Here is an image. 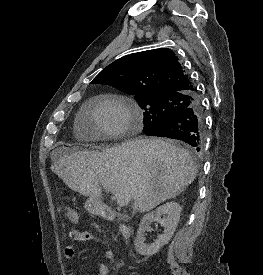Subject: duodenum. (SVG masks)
I'll list each match as a JSON object with an SVG mask.
<instances>
[{
	"mask_svg": "<svg viewBox=\"0 0 263 275\" xmlns=\"http://www.w3.org/2000/svg\"><path fill=\"white\" fill-rule=\"evenodd\" d=\"M100 212H101L102 217L105 218L106 220L114 221L116 219L113 211L106 206L101 207ZM119 230H120L122 237L127 242L130 238V228L126 224L120 223Z\"/></svg>",
	"mask_w": 263,
	"mask_h": 275,
	"instance_id": "410a0bca",
	"label": "duodenum"
}]
</instances>
